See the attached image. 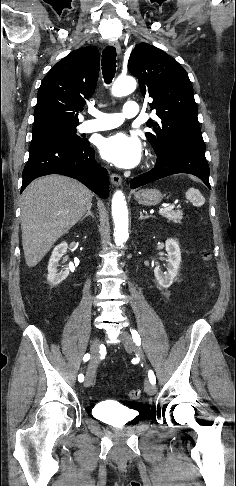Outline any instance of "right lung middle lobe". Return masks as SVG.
<instances>
[{"label":"right lung middle lobe","instance_id":"1","mask_svg":"<svg viewBox=\"0 0 236 486\" xmlns=\"http://www.w3.org/2000/svg\"><path fill=\"white\" fill-rule=\"evenodd\" d=\"M79 124L47 123L35 125L32 128V141L56 140L70 144H80L85 141L76 134Z\"/></svg>","mask_w":236,"mask_h":486}]
</instances>
